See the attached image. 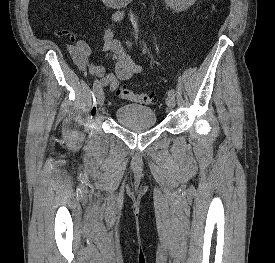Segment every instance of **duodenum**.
<instances>
[{"label": "duodenum", "mask_w": 275, "mask_h": 263, "mask_svg": "<svg viewBox=\"0 0 275 263\" xmlns=\"http://www.w3.org/2000/svg\"><path fill=\"white\" fill-rule=\"evenodd\" d=\"M104 5L109 7H124L132 3L134 0H101Z\"/></svg>", "instance_id": "1"}]
</instances>
